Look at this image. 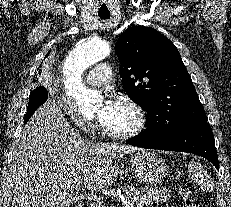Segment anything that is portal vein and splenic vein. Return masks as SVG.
<instances>
[{"instance_id":"portal-vein-and-splenic-vein-1","label":"portal vein and splenic vein","mask_w":231,"mask_h":207,"mask_svg":"<svg viewBox=\"0 0 231 207\" xmlns=\"http://www.w3.org/2000/svg\"><path fill=\"white\" fill-rule=\"evenodd\" d=\"M91 198H92L94 201L99 200V202H98L97 204H99V207H100V204H101L100 200H101V198H97L96 196L93 195V193H91ZM122 206H123V207H132V204H131L129 201L124 200V201L122 202Z\"/></svg>"}]
</instances>
